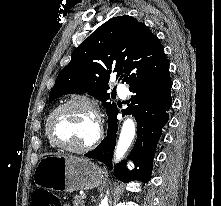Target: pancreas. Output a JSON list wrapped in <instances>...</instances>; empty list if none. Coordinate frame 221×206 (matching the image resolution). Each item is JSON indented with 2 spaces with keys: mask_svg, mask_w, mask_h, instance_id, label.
I'll return each mask as SVG.
<instances>
[{
  "mask_svg": "<svg viewBox=\"0 0 221 206\" xmlns=\"http://www.w3.org/2000/svg\"><path fill=\"white\" fill-rule=\"evenodd\" d=\"M84 195H76L75 197H74V201H73V204H74V206H85L84 205V197H83Z\"/></svg>",
  "mask_w": 221,
  "mask_h": 206,
  "instance_id": "obj_1",
  "label": "pancreas"
}]
</instances>
